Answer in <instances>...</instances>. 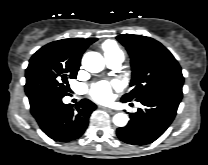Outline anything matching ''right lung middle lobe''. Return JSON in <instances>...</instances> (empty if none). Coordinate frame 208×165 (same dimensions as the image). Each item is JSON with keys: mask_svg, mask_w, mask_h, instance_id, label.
Masks as SVG:
<instances>
[{"mask_svg": "<svg viewBox=\"0 0 208 165\" xmlns=\"http://www.w3.org/2000/svg\"><path fill=\"white\" fill-rule=\"evenodd\" d=\"M80 62L55 47L45 45L30 59L26 69L25 92L30 105L41 99L68 95V79H75Z\"/></svg>", "mask_w": 208, "mask_h": 165, "instance_id": "1", "label": "right lung middle lobe"}]
</instances>
